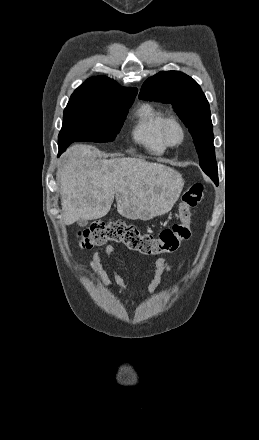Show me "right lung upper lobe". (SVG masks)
<instances>
[{"instance_id": "right-lung-upper-lobe-1", "label": "right lung upper lobe", "mask_w": 259, "mask_h": 440, "mask_svg": "<svg viewBox=\"0 0 259 440\" xmlns=\"http://www.w3.org/2000/svg\"><path fill=\"white\" fill-rule=\"evenodd\" d=\"M137 89L122 88L115 81L100 76L87 79L71 95V103L106 107L117 102L135 98Z\"/></svg>"}]
</instances>
